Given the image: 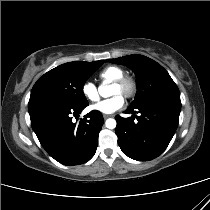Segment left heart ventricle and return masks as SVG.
<instances>
[{
	"label": "left heart ventricle",
	"instance_id": "1",
	"mask_svg": "<svg viewBox=\"0 0 210 210\" xmlns=\"http://www.w3.org/2000/svg\"><path fill=\"white\" fill-rule=\"evenodd\" d=\"M111 93H112V95H117V94H120L121 93V90H120L119 87L113 85L112 86V92Z\"/></svg>",
	"mask_w": 210,
	"mask_h": 210
}]
</instances>
